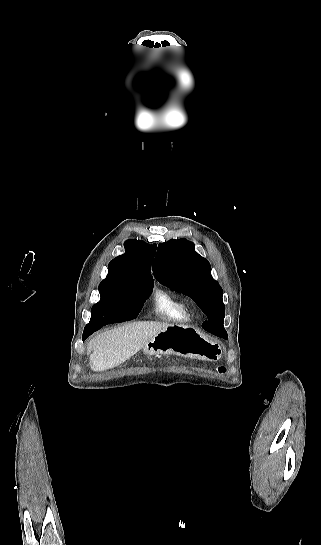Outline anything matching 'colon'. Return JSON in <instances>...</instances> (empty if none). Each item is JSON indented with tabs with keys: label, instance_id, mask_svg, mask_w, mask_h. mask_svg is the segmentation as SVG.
<instances>
[{
	"label": "colon",
	"instance_id": "colon-1",
	"mask_svg": "<svg viewBox=\"0 0 321 545\" xmlns=\"http://www.w3.org/2000/svg\"><path fill=\"white\" fill-rule=\"evenodd\" d=\"M217 371H218L219 373H223V372H225V368H224V367H218V368H217Z\"/></svg>",
	"mask_w": 321,
	"mask_h": 545
}]
</instances>
